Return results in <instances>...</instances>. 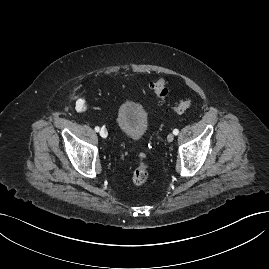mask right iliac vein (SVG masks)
<instances>
[{
    "mask_svg": "<svg viewBox=\"0 0 269 269\" xmlns=\"http://www.w3.org/2000/svg\"><path fill=\"white\" fill-rule=\"evenodd\" d=\"M99 134H100V136H101L102 138H106V137L108 136V132H107V130H106L105 128H102V129L100 130Z\"/></svg>",
    "mask_w": 269,
    "mask_h": 269,
    "instance_id": "63e3f726",
    "label": "right iliac vein"
}]
</instances>
